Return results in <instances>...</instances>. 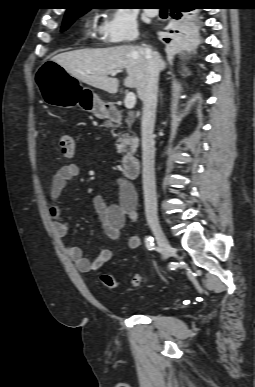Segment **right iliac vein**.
Masks as SVG:
<instances>
[{"mask_svg": "<svg viewBox=\"0 0 255 387\" xmlns=\"http://www.w3.org/2000/svg\"><path fill=\"white\" fill-rule=\"evenodd\" d=\"M150 228L156 237L159 251L161 253V258L163 260L168 259L171 252H172V247H171L168 239L166 238V235L163 232L161 226L157 222H152V223H150Z\"/></svg>", "mask_w": 255, "mask_h": 387, "instance_id": "obj_1", "label": "right iliac vein"}]
</instances>
